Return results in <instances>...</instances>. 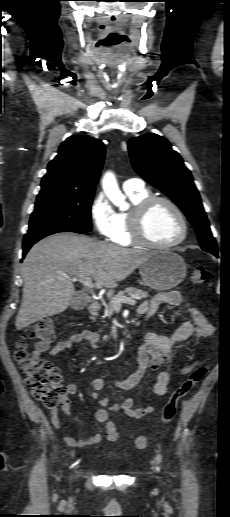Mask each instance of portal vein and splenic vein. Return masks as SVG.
I'll return each mask as SVG.
<instances>
[{"instance_id":"1","label":"portal vein and splenic vein","mask_w":230,"mask_h":517,"mask_svg":"<svg viewBox=\"0 0 230 517\" xmlns=\"http://www.w3.org/2000/svg\"><path fill=\"white\" fill-rule=\"evenodd\" d=\"M73 281H79L82 285L85 287H88L90 289L96 288L97 285H95L90 277H84V278H72ZM122 303H126L129 305H135L136 301L133 298L123 297L120 299H116L113 301V304L115 307H121Z\"/></svg>"}]
</instances>
